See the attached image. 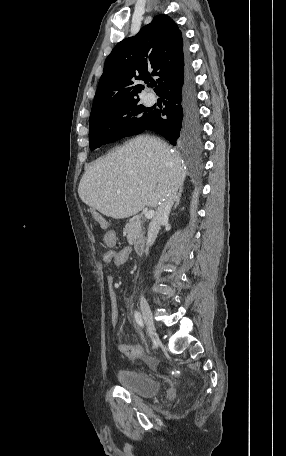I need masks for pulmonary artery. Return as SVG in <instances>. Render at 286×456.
Masks as SVG:
<instances>
[{
  "label": "pulmonary artery",
  "mask_w": 286,
  "mask_h": 456,
  "mask_svg": "<svg viewBox=\"0 0 286 456\" xmlns=\"http://www.w3.org/2000/svg\"><path fill=\"white\" fill-rule=\"evenodd\" d=\"M146 101L147 104L152 105L155 102V97L153 95H148Z\"/></svg>",
  "instance_id": "obj_1"
}]
</instances>
